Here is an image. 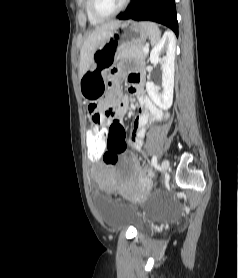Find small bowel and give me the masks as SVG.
<instances>
[{
	"mask_svg": "<svg viewBox=\"0 0 238 278\" xmlns=\"http://www.w3.org/2000/svg\"><path fill=\"white\" fill-rule=\"evenodd\" d=\"M119 72L120 67H111V71H108V76H110L109 80L113 81V76H119ZM128 82L129 92L137 97L140 104L139 113L132 124L131 137H125L127 128L116 120L117 118L123 117L129 107L128 98L120 94L119 78L114 80L111 93H104V98H109L107 101L94 103L89 106L88 111L91 118L90 130H99L104 133L106 138L124 137L126 145L128 144L133 150L138 151L144 145L147 124L161 120L164 117V113L145 93L143 70L140 69L130 72L128 74ZM107 113H114V115L110 117ZM93 124L97 125L96 129L92 128ZM113 125H117L118 127H112ZM101 180L105 186H112L114 189L119 188L115 179L107 173L102 175Z\"/></svg>",
	"mask_w": 238,
	"mask_h": 278,
	"instance_id": "c3829d8e",
	"label": "small bowel"
}]
</instances>
